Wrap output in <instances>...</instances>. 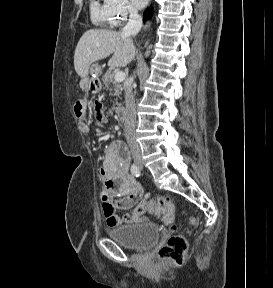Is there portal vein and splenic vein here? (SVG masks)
<instances>
[{
	"mask_svg": "<svg viewBox=\"0 0 273 288\" xmlns=\"http://www.w3.org/2000/svg\"><path fill=\"white\" fill-rule=\"evenodd\" d=\"M125 79V73L120 71L114 74V80L117 82H122Z\"/></svg>",
	"mask_w": 273,
	"mask_h": 288,
	"instance_id": "obj_1",
	"label": "portal vein and splenic vein"
}]
</instances>
